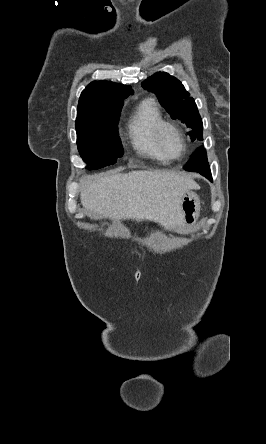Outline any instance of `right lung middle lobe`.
I'll list each match as a JSON object with an SVG mask.
<instances>
[{
  "mask_svg": "<svg viewBox=\"0 0 266 444\" xmlns=\"http://www.w3.org/2000/svg\"><path fill=\"white\" fill-rule=\"evenodd\" d=\"M122 106L123 101H108L77 109V146L90 170L114 164L123 155L117 129Z\"/></svg>",
  "mask_w": 266,
  "mask_h": 444,
  "instance_id": "1",
  "label": "right lung middle lobe"
}]
</instances>
